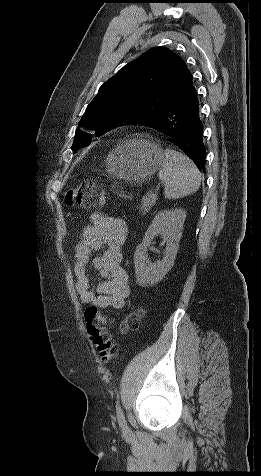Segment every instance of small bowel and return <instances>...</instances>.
Segmentation results:
<instances>
[{"mask_svg":"<svg viewBox=\"0 0 261 476\" xmlns=\"http://www.w3.org/2000/svg\"><path fill=\"white\" fill-rule=\"evenodd\" d=\"M128 227L124 220L104 214H93L74 247L75 288L84 304L100 309H122L130 295L128 274L122 267V249ZM102 250L100 256H94ZM99 271L102 281L91 288L88 265Z\"/></svg>","mask_w":261,"mask_h":476,"instance_id":"small-bowel-1","label":"small bowel"}]
</instances>
